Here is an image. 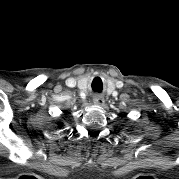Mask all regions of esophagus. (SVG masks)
I'll use <instances>...</instances> for the list:
<instances>
[{
    "mask_svg": "<svg viewBox=\"0 0 179 179\" xmlns=\"http://www.w3.org/2000/svg\"><path fill=\"white\" fill-rule=\"evenodd\" d=\"M93 101H94V103L97 104V105H103L104 102H105L103 96L100 95V94H96V95L94 96V98H93Z\"/></svg>",
    "mask_w": 179,
    "mask_h": 179,
    "instance_id": "obj_1",
    "label": "esophagus"
}]
</instances>
